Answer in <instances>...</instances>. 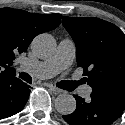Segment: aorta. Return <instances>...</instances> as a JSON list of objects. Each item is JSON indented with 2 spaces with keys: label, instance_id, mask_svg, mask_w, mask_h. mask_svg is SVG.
<instances>
[{
  "label": "aorta",
  "instance_id": "1",
  "mask_svg": "<svg viewBox=\"0 0 125 125\" xmlns=\"http://www.w3.org/2000/svg\"><path fill=\"white\" fill-rule=\"evenodd\" d=\"M33 52L40 58H47L54 54L55 41L49 34H40L32 42ZM55 108L62 115H69L76 109V100L72 95L61 94L55 99Z\"/></svg>",
  "mask_w": 125,
  "mask_h": 125
}]
</instances>
